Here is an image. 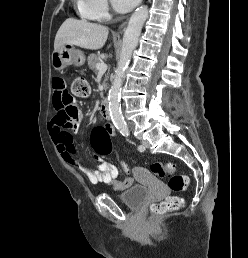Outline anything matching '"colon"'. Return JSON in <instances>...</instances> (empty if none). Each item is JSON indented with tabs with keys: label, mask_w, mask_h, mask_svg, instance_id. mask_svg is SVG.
Wrapping results in <instances>:
<instances>
[{
	"label": "colon",
	"mask_w": 248,
	"mask_h": 258,
	"mask_svg": "<svg viewBox=\"0 0 248 258\" xmlns=\"http://www.w3.org/2000/svg\"><path fill=\"white\" fill-rule=\"evenodd\" d=\"M88 82L82 77L73 79L71 92L76 97H86L89 95ZM77 113V108L71 107L68 111L57 114V118L63 127H70L73 116ZM93 146L96 155H111L117 157L116 164L120 169H126L130 166V161L125 158H118L120 153L113 150L114 145L111 144L109 131L104 126L96 127L92 133ZM151 170L154 174L166 178L168 186L174 191H184L188 187L189 179L185 175L175 173L176 166L172 162H154L151 164ZM183 199L179 196H168L164 200L154 203L151 206L153 214L159 215L168 211L177 210L182 207Z\"/></svg>",
	"instance_id": "1"
}]
</instances>
